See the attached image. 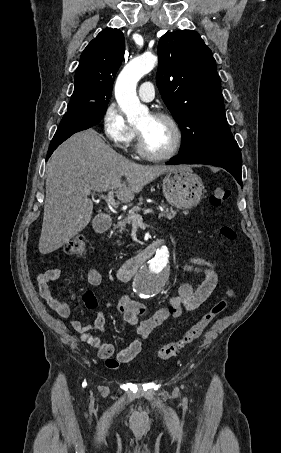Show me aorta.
I'll return each instance as SVG.
<instances>
[{
	"instance_id": "aorta-1",
	"label": "aorta",
	"mask_w": 281,
	"mask_h": 453,
	"mask_svg": "<svg viewBox=\"0 0 281 453\" xmlns=\"http://www.w3.org/2000/svg\"><path fill=\"white\" fill-rule=\"evenodd\" d=\"M157 57L144 54L132 59L119 74L115 84V98L130 124H136L148 115V108L139 102L136 94L138 81L156 65ZM169 252L166 247L157 250L156 255L142 266L134 277L133 291L140 299H149L165 287L168 275L165 268Z\"/></svg>"
}]
</instances>
